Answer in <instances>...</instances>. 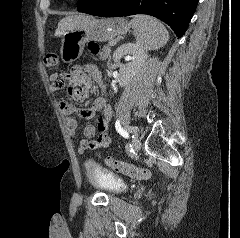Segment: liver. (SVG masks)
Masks as SVG:
<instances>
[{
	"label": "liver",
	"mask_w": 240,
	"mask_h": 238,
	"mask_svg": "<svg viewBox=\"0 0 240 238\" xmlns=\"http://www.w3.org/2000/svg\"><path fill=\"white\" fill-rule=\"evenodd\" d=\"M90 18L92 17L85 15H72L65 17L58 23L55 35H63L66 31L79 27L84 21Z\"/></svg>",
	"instance_id": "obj_1"
}]
</instances>
